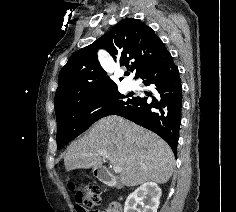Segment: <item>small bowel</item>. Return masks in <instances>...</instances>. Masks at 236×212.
Instances as JSON below:
<instances>
[{
  "instance_id": "1",
  "label": "small bowel",
  "mask_w": 236,
  "mask_h": 212,
  "mask_svg": "<svg viewBox=\"0 0 236 212\" xmlns=\"http://www.w3.org/2000/svg\"><path fill=\"white\" fill-rule=\"evenodd\" d=\"M107 212H121V208L118 204L112 203L109 205Z\"/></svg>"
}]
</instances>
